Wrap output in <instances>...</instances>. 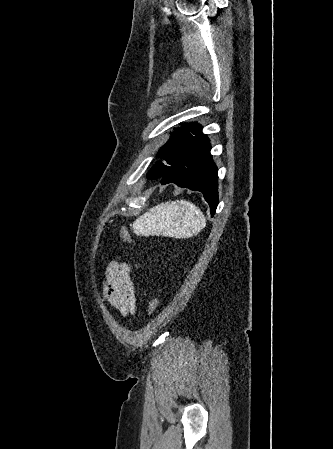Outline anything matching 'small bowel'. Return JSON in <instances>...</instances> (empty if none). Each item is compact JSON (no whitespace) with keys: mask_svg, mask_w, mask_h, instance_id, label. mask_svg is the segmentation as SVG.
Returning a JSON list of instances; mask_svg holds the SVG:
<instances>
[{"mask_svg":"<svg viewBox=\"0 0 333 449\" xmlns=\"http://www.w3.org/2000/svg\"><path fill=\"white\" fill-rule=\"evenodd\" d=\"M105 296L109 304L121 315L128 316L135 312V284L128 264L113 261L107 266Z\"/></svg>","mask_w":333,"mask_h":449,"instance_id":"obj_1","label":"small bowel"}]
</instances>
